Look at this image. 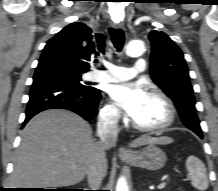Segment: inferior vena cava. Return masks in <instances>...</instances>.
Listing matches in <instances>:
<instances>
[{"mask_svg": "<svg viewBox=\"0 0 218 191\" xmlns=\"http://www.w3.org/2000/svg\"><path fill=\"white\" fill-rule=\"evenodd\" d=\"M119 119L120 116L117 113H106L99 118L97 129L100 138L99 149L87 173L91 190H98L103 177L106 175L107 161L105 152L116 144Z\"/></svg>", "mask_w": 218, "mask_h": 191, "instance_id": "1", "label": "inferior vena cava"}]
</instances>
